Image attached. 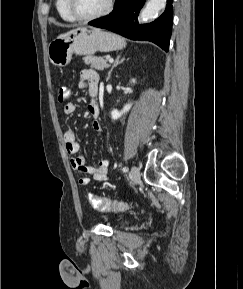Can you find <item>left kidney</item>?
Returning <instances> with one entry per match:
<instances>
[{"instance_id": "5707ae66", "label": "left kidney", "mask_w": 243, "mask_h": 289, "mask_svg": "<svg viewBox=\"0 0 243 289\" xmlns=\"http://www.w3.org/2000/svg\"><path fill=\"white\" fill-rule=\"evenodd\" d=\"M132 83H135V79H132ZM132 104H126L123 109L121 111H118L117 109H113L111 112V117L113 120H116L118 118H120L123 114L127 113L130 108H131Z\"/></svg>"}]
</instances>
